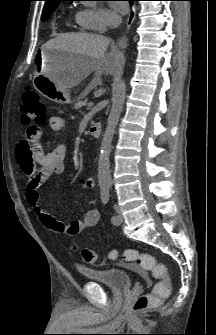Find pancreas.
Listing matches in <instances>:
<instances>
[{
  "label": "pancreas",
  "instance_id": "1",
  "mask_svg": "<svg viewBox=\"0 0 216 335\" xmlns=\"http://www.w3.org/2000/svg\"><path fill=\"white\" fill-rule=\"evenodd\" d=\"M88 92L87 91H84L79 97H78V100H77V103L75 104L74 106V109H80L81 107L85 106L86 103H87V96Z\"/></svg>",
  "mask_w": 216,
  "mask_h": 335
}]
</instances>
